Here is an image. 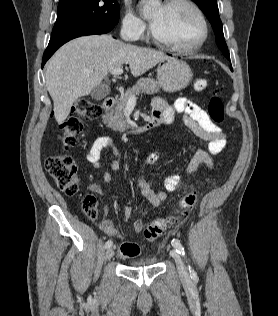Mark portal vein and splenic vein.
<instances>
[{
	"label": "portal vein and splenic vein",
	"instance_id": "obj_1",
	"mask_svg": "<svg viewBox=\"0 0 278 316\" xmlns=\"http://www.w3.org/2000/svg\"><path fill=\"white\" fill-rule=\"evenodd\" d=\"M113 75H121L123 73L122 68H116L111 71ZM137 98L135 96H130L128 99L129 103H136Z\"/></svg>",
	"mask_w": 278,
	"mask_h": 316
}]
</instances>
